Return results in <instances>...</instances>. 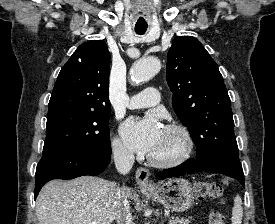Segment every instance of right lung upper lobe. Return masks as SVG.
Listing matches in <instances>:
<instances>
[{"label":"right lung upper lobe","mask_w":275,"mask_h":224,"mask_svg":"<svg viewBox=\"0 0 275 224\" xmlns=\"http://www.w3.org/2000/svg\"><path fill=\"white\" fill-rule=\"evenodd\" d=\"M110 52L104 41L81 44L61 69L48 114L59 111H110Z\"/></svg>","instance_id":"right-lung-upper-lobe-1"}]
</instances>
